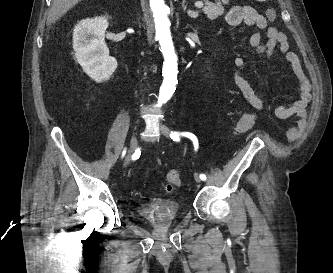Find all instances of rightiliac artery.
<instances>
[{
    "label": "right iliac artery",
    "instance_id": "82829eb1",
    "mask_svg": "<svg viewBox=\"0 0 333 273\" xmlns=\"http://www.w3.org/2000/svg\"><path fill=\"white\" fill-rule=\"evenodd\" d=\"M126 154V149L123 150L122 152V157Z\"/></svg>",
    "mask_w": 333,
    "mask_h": 273
}]
</instances>
